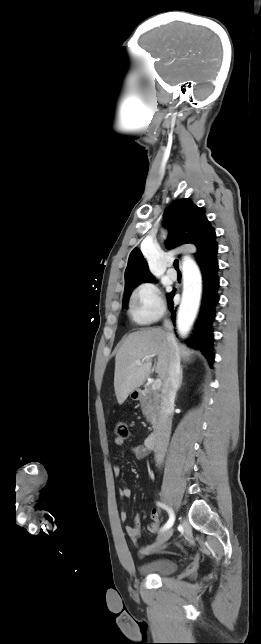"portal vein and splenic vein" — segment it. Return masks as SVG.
Here are the masks:
<instances>
[{
	"instance_id": "obj_1",
	"label": "portal vein and splenic vein",
	"mask_w": 261,
	"mask_h": 644,
	"mask_svg": "<svg viewBox=\"0 0 261 644\" xmlns=\"http://www.w3.org/2000/svg\"><path fill=\"white\" fill-rule=\"evenodd\" d=\"M149 359H150V357H146V358H144L143 360H136V361H135V364H136V365H141V363H142V362H144L145 360H149ZM161 384H162L161 379H160V378L156 379V380L152 383V386H151L152 390H157V389H159V388L161 387Z\"/></svg>"
}]
</instances>
